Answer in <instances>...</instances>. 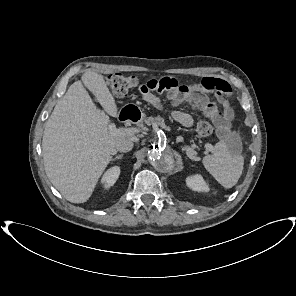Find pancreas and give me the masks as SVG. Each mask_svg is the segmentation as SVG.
Segmentation results:
<instances>
[{"instance_id":"cf45deb5","label":"pancreas","mask_w":296,"mask_h":296,"mask_svg":"<svg viewBox=\"0 0 296 296\" xmlns=\"http://www.w3.org/2000/svg\"><path fill=\"white\" fill-rule=\"evenodd\" d=\"M145 123L146 124H152V125H158V126H161L162 128L164 129H167L166 125H165V122H164V119L161 118L160 116L158 117H149L145 120Z\"/></svg>"}]
</instances>
